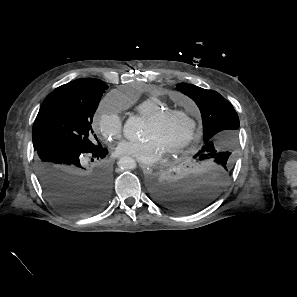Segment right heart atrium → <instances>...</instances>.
Returning <instances> with one entry per match:
<instances>
[{
	"label": "right heart atrium",
	"mask_w": 297,
	"mask_h": 297,
	"mask_svg": "<svg viewBox=\"0 0 297 297\" xmlns=\"http://www.w3.org/2000/svg\"><path fill=\"white\" fill-rule=\"evenodd\" d=\"M122 108L123 106L113 99L112 94H109L102 99L95 114L97 129L109 141L119 138L122 133Z\"/></svg>",
	"instance_id": "d8ad5b80"
}]
</instances>
